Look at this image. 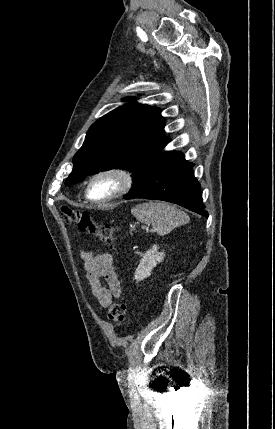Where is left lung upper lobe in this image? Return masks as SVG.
Segmentation results:
<instances>
[{
	"label": "left lung upper lobe",
	"instance_id": "obj_1",
	"mask_svg": "<svg viewBox=\"0 0 275 429\" xmlns=\"http://www.w3.org/2000/svg\"><path fill=\"white\" fill-rule=\"evenodd\" d=\"M124 100L133 101L134 98ZM160 112L157 107L129 103L98 119L75 154L73 170L65 185L113 167L129 170L134 183L169 142L164 135L165 120Z\"/></svg>",
	"mask_w": 275,
	"mask_h": 429
}]
</instances>
